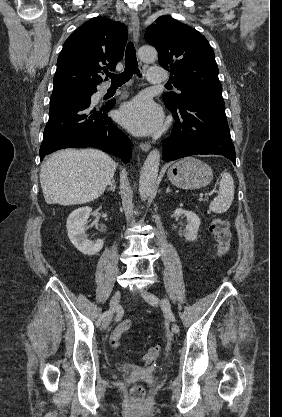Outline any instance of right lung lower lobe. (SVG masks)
<instances>
[{
	"label": "right lung lower lobe",
	"instance_id": "obj_1",
	"mask_svg": "<svg viewBox=\"0 0 282 417\" xmlns=\"http://www.w3.org/2000/svg\"><path fill=\"white\" fill-rule=\"evenodd\" d=\"M92 94L50 104L49 121L39 150L41 158L59 149L95 147L120 157L124 163L130 160V139L107 115L115 103L94 105Z\"/></svg>",
	"mask_w": 282,
	"mask_h": 417
}]
</instances>
